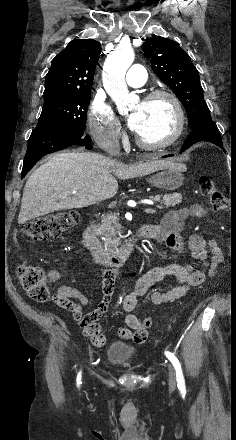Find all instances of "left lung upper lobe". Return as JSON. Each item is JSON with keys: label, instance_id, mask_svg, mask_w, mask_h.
Segmentation results:
<instances>
[{"label": "left lung upper lobe", "instance_id": "1", "mask_svg": "<svg viewBox=\"0 0 236 440\" xmlns=\"http://www.w3.org/2000/svg\"><path fill=\"white\" fill-rule=\"evenodd\" d=\"M142 49L151 59V68L155 74L173 90L184 105L189 127L193 130L211 120L198 71L178 43L154 36L143 43Z\"/></svg>", "mask_w": 236, "mask_h": 440}]
</instances>
